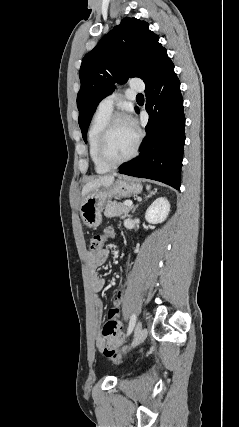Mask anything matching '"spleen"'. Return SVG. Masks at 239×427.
I'll use <instances>...</instances> for the list:
<instances>
[{"label": "spleen", "mask_w": 239, "mask_h": 427, "mask_svg": "<svg viewBox=\"0 0 239 427\" xmlns=\"http://www.w3.org/2000/svg\"><path fill=\"white\" fill-rule=\"evenodd\" d=\"M146 189H147V190H149V189H150V186H149V185H147V186H146Z\"/></svg>", "instance_id": "3e777b00"}]
</instances>
